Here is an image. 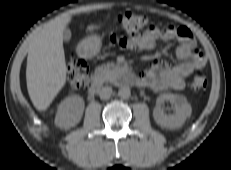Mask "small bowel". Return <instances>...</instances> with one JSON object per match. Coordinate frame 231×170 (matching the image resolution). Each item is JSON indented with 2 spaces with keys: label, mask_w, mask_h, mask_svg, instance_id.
Segmentation results:
<instances>
[{
  "label": "small bowel",
  "mask_w": 231,
  "mask_h": 170,
  "mask_svg": "<svg viewBox=\"0 0 231 170\" xmlns=\"http://www.w3.org/2000/svg\"><path fill=\"white\" fill-rule=\"evenodd\" d=\"M108 39L121 48L135 51L151 50L158 41L178 42L176 50L178 64L167 66L156 62L139 76L140 85L155 91L182 90L185 87V78L205 64L203 51L197 47L191 31L185 26L167 25L159 28L152 25L145 32L135 36H119L116 33H110Z\"/></svg>",
  "instance_id": "small-bowel-1"
}]
</instances>
